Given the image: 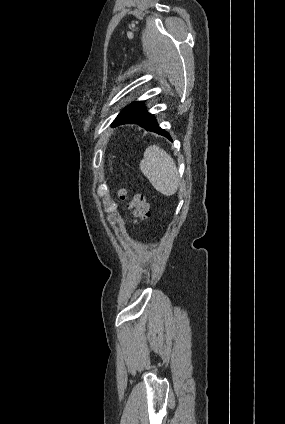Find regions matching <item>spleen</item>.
Masks as SVG:
<instances>
[{
	"instance_id": "3e777b00",
	"label": "spleen",
	"mask_w": 285,
	"mask_h": 424,
	"mask_svg": "<svg viewBox=\"0 0 285 424\" xmlns=\"http://www.w3.org/2000/svg\"><path fill=\"white\" fill-rule=\"evenodd\" d=\"M140 170L161 194L171 196L179 187V174L172 157L157 145L149 146L140 161Z\"/></svg>"
}]
</instances>
